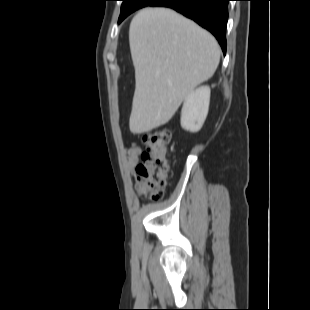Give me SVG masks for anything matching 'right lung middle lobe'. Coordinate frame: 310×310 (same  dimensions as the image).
Segmentation results:
<instances>
[{
	"instance_id": "dd1d6c3e",
	"label": "right lung middle lobe",
	"mask_w": 310,
	"mask_h": 310,
	"mask_svg": "<svg viewBox=\"0 0 310 310\" xmlns=\"http://www.w3.org/2000/svg\"><path fill=\"white\" fill-rule=\"evenodd\" d=\"M119 23L135 10L148 6L155 0H122Z\"/></svg>"
}]
</instances>
